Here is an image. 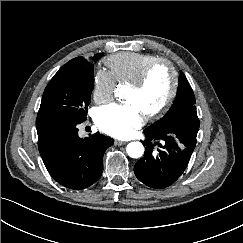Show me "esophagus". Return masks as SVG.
Listing matches in <instances>:
<instances>
[{
    "mask_svg": "<svg viewBox=\"0 0 243 243\" xmlns=\"http://www.w3.org/2000/svg\"><path fill=\"white\" fill-rule=\"evenodd\" d=\"M114 144H115L116 146H121V145L126 144V142H125V141H122V140H115V141H114Z\"/></svg>",
    "mask_w": 243,
    "mask_h": 243,
    "instance_id": "34e87169",
    "label": "esophagus"
}]
</instances>
